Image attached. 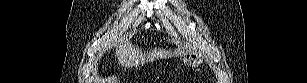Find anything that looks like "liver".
<instances>
[{
    "label": "liver",
    "instance_id": "obj_1",
    "mask_svg": "<svg viewBox=\"0 0 307 83\" xmlns=\"http://www.w3.org/2000/svg\"><path fill=\"white\" fill-rule=\"evenodd\" d=\"M116 47V56L119 63L128 67L133 65L138 66L139 62L144 64L154 59L167 58V54L168 57L179 54V50H175L172 53L171 51L160 48H155L152 52H149V54H143L138 47L133 46L129 42H118Z\"/></svg>",
    "mask_w": 307,
    "mask_h": 83
}]
</instances>
